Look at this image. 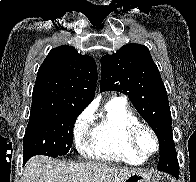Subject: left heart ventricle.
Here are the masks:
<instances>
[{"mask_svg":"<svg viewBox=\"0 0 196 182\" xmlns=\"http://www.w3.org/2000/svg\"><path fill=\"white\" fill-rule=\"evenodd\" d=\"M139 142L142 149L148 153L152 152L155 148V142L152 136L147 132L141 134Z\"/></svg>","mask_w":196,"mask_h":182,"instance_id":"obj_1","label":"left heart ventricle"}]
</instances>
